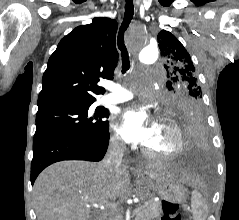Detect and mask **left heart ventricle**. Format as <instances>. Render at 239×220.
I'll return each instance as SVG.
<instances>
[{"mask_svg":"<svg viewBox=\"0 0 239 220\" xmlns=\"http://www.w3.org/2000/svg\"><path fill=\"white\" fill-rule=\"evenodd\" d=\"M175 142L173 132L164 124L156 122L153 133L145 146L154 151L170 152L175 147Z\"/></svg>","mask_w":239,"mask_h":220,"instance_id":"b2bd125f","label":"left heart ventricle"}]
</instances>
